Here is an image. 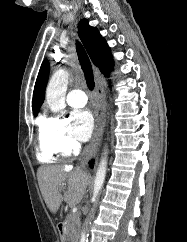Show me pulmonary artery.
<instances>
[{
  "label": "pulmonary artery",
  "instance_id": "e3ab8cb5",
  "mask_svg": "<svg viewBox=\"0 0 187 242\" xmlns=\"http://www.w3.org/2000/svg\"><path fill=\"white\" fill-rule=\"evenodd\" d=\"M87 102V97L82 90H71L67 95V103L72 107H83Z\"/></svg>",
  "mask_w": 187,
  "mask_h": 242
}]
</instances>
